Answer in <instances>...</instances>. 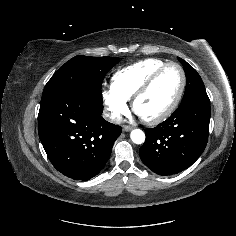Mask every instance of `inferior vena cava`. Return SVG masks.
Segmentation results:
<instances>
[{
	"label": "inferior vena cava",
	"mask_w": 236,
	"mask_h": 236,
	"mask_svg": "<svg viewBox=\"0 0 236 236\" xmlns=\"http://www.w3.org/2000/svg\"><path fill=\"white\" fill-rule=\"evenodd\" d=\"M104 117L107 118V119H110V120H115L116 119V116L112 113H109L108 111L104 112Z\"/></svg>",
	"instance_id": "602c4592"
}]
</instances>
